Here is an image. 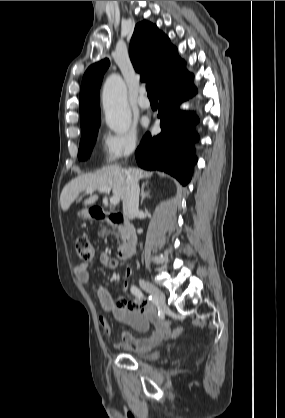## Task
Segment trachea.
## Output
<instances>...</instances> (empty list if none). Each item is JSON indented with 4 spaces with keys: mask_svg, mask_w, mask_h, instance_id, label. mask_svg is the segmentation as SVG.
Returning a JSON list of instances; mask_svg holds the SVG:
<instances>
[{
    "mask_svg": "<svg viewBox=\"0 0 285 418\" xmlns=\"http://www.w3.org/2000/svg\"><path fill=\"white\" fill-rule=\"evenodd\" d=\"M146 90L149 98H157V95L154 90V85L151 82L146 84Z\"/></svg>",
    "mask_w": 285,
    "mask_h": 418,
    "instance_id": "obj_1",
    "label": "trachea"
}]
</instances>
